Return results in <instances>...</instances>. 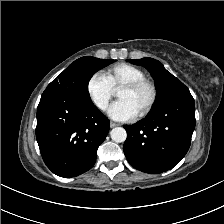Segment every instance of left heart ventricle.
Wrapping results in <instances>:
<instances>
[{
	"label": "left heart ventricle",
	"mask_w": 224,
	"mask_h": 224,
	"mask_svg": "<svg viewBox=\"0 0 224 224\" xmlns=\"http://www.w3.org/2000/svg\"><path fill=\"white\" fill-rule=\"evenodd\" d=\"M119 100H125L129 102L135 110L139 111L144 107L149 98V91L146 88H141L136 91H129L125 89H120L117 93Z\"/></svg>",
	"instance_id": "b2bd125f"
}]
</instances>
